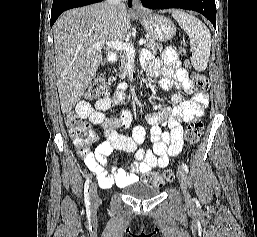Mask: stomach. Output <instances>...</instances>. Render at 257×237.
<instances>
[{"mask_svg":"<svg viewBox=\"0 0 257 237\" xmlns=\"http://www.w3.org/2000/svg\"><path fill=\"white\" fill-rule=\"evenodd\" d=\"M137 17L144 26L147 34L155 41H169L176 33L174 23L162 15L152 14L147 11Z\"/></svg>","mask_w":257,"mask_h":237,"instance_id":"1","label":"stomach"}]
</instances>
